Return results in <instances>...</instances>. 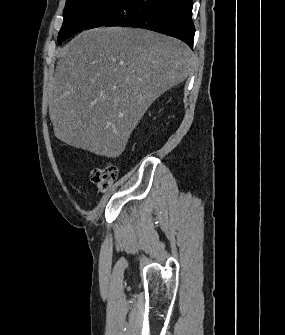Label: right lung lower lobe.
<instances>
[{
  "instance_id": "right-lung-lower-lobe-1",
  "label": "right lung lower lobe",
  "mask_w": 285,
  "mask_h": 335,
  "mask_svg": "<svg viewBox=\"0 0 285 335\" xmlns=\"http://www.w3.org/2000/svg\"><path fill=\"white\" fill-rule=\"evenodd\" d=\"M193 0H115L83 28L124 26L144 28L182 40L193 48Z\"/></svg>"
}]
</instances>
